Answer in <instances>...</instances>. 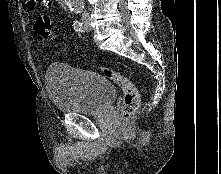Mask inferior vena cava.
I'll use <instances>...</instances> for the list:
<instances>
[{"label":"inferior vena cava","mask_w":221,"mask_h":174,"mask_svg":"<svg viewBox=\"0 0 221 174\" xmlns=\"http://www.w3.org/2000/svg\"><path fill=\"white\" fill-rule=\"evenodd\" d=\"M82 12H83V17H85V16H87V13H86V11H85V9L84 8H82Z\"/></svg>","instance_id":"inferior-vena-cava-1"}]
</instances>
